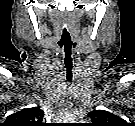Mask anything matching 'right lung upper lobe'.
<instances>
[{"label":"right lung upper lobe","instance_id":"obj_1","mask_svg":"<svg viewBox=\"0 0 135 126\" xmlns=\"http://www.w3.org/2000/svg\"><path fill=\"white\" fill-rule=\"evenodd\" d=\"M44 112L39 107L27 108L9 115L8 126H37L41 124Z\"/></svg>","mask_w":135,"mask_h":126}]
</instances>
